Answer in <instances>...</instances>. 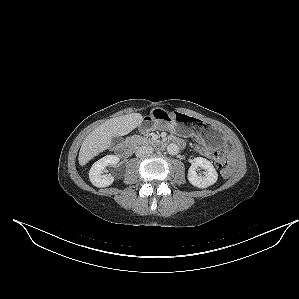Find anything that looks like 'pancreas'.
<instances>
[{
  "mask_svg": "<svg viewBox=\"0 0 299 299\" xmlns=\"http://www.w3.org/2000/svg\"><path fill=\"white\" fill-rule=\"evenodd\" d=\"M129 141L133 143L134 145H140V144H146L150 142V139L148 137L140 136V135H134L132 136Z\"/></svg>",
  "mask_w": 299,
  "mask_h": 299,
  "instance_id": "cf45deb5",
  "label": "pancreas"
}]
</instances>
